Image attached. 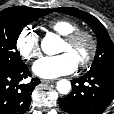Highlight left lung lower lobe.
<instances>
[{"label":"left lung lower lobe","mask_w":114,"mask_h":114,"mask_svg":"<svg viewBox=\"0 0 114 114\" xmlns=\"http://www.w3.org/2000/svg\"><path fill=\"white\" fill-rule=\"evenodd\" d=\"M72 92L59 98V106L69 114H102L114 97V69L88 71L71 81Z\"/></svg>","instance_id":"0a47b994"}]
</instances>
